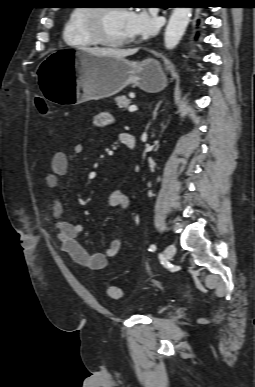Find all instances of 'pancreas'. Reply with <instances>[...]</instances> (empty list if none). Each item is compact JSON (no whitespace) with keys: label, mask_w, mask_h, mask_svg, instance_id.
<instances>
[{"label":"pancreas","mask_w":255,"mask_h":387,"mask_svg":"<svg viewBox=\"0 0 255 387\" xmlns=\"http://www.w3.org/2000/svg\"><path fill=\"white\" fill-rule=\"evenodd\" d=\"M115 102L119 108L123 109L128 107V105L131 103V100L122 95L115 97Z\"/></svg>","instance_id":"obj_1"}]
</instances>
